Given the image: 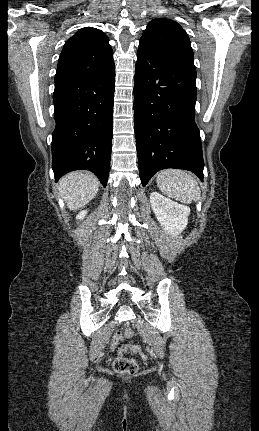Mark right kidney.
Listing matches in <instances>:
<instances>
[{
	"instance_id": "1",
	"label": "right kidney",
	"mask_w": 259,
	"mask_h": 431,
	"mask_svg": "<svg viewBox=\"0 0 259 431\" xmlns=\"http://www.w3.org/2000/svg\"><path fill=\"white\" fill-rule=\"evenodd\" d=\"M86 214H87V211H86V210H83V211H81V212L76 216V219H77V220H82V219L86 216Z\"/></svg>"
}]
</instances>
